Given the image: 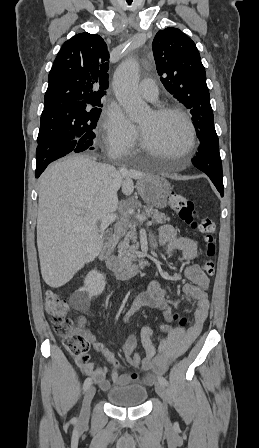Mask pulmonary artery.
Instances as JSON below:
<instances>
[{
  "label": "pulmonary artery",
  "mask_w": 259,
  "mask_h": 448,
  "mask_svg": "<svg viewBox=\"0 0 259 448\" xmlns=\"http://www.w3.org/2000/svg\"><path fill=\"white\" fill-rule=\"evenodd\" d=\"M138 92L143 97L154 101L158 98V87L155 81L143 79L138 85Z\"/></svg>",
  "instance_id": "obj_1"
}]
</instances>
